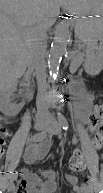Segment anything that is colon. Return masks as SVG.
Instances as JSON below:
<instances>
[{"label":"colon","instance_id":"colon-1","mask_svg":"<svg viewBox=\"0 0 103 193\" xmlns=\"http://www.w3.org/2000/svg\"><path fill=\"white\" fill-rule=\"evenodd\" d=\"M102 117H103V106L101 104H98L95 107L94 113H92L91 116L89 117V121L91 122V126L94 131L92 143L96 149H99L103 144ZM7 131L8 130L5 128L1 130L0 146H2L4 143V140L7 136ZM69 167L73 172H82L83 170H85L86 160L84 153L81 151H75L70 157Z\"/></svg>","mask_w":103,"mask_h":193}]
</instances>
